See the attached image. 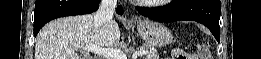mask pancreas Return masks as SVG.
<instances>
[{"instance_id": "obj_1", "label": "pancreas", "mask_w": 261, "mask_h": 59, "mask_svg": "<svg viewBox=\"0 0 261 59\" xmlns=\"http://www.w3.org/2000/svg\"><path fill=\"white\" fill-rule=\"evenodd\" d=\"M141 50L147 51V54L145 55V57H143V59H159L158 52L154 47H151L147 44H144L142 46H139L136 49V51H141ZM127 51L128 52H135V50L133 48H129Z\"/></svg>"}]
</instances>
